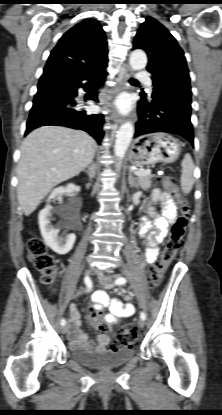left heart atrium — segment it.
Instances as JSON below:
<instances>
[{
	"label": "left heart atrium",
	"instance_id": "obj_1",
	"mask_svg": "<svg viewBox=\"0 0 222 415\" xmlns=\"http://www.w3.org/2000/svg\"><path fill=\"white\" fill-rule=\"evenodd\" d=\"M118 106L121 110L126 111L129 108V102L126 98H122L118 101Z\"/></svg>",
	"mask_w": 222,
	"mask_h": 415
}]
</instances>
